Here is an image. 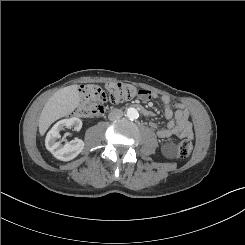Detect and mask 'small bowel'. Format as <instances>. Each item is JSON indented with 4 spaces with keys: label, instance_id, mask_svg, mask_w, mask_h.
<instances>
[{
    "label": "small bowel",
    "instance_id": "c3829d8e",
    "mask_svg": "<svg viewBox=\"0 0 245 245\" xmlns=\"http://www.w3.org/2000/svg\"><path fill=\"white\" fill-rule=\"evenodd\" d=\"M156 97L157 94L150 91H146V94L140 95V98L143 100H149ZM160 99L164 104V114L168 123L165 127H159L155 122L150 123V126L153 129H156L157 136L161 139L173 135L181 139L193 138V127L189 120V112L185 106L181 103L171 105L170 98L167 95H162Z\"/></svg>",
    "mask_w": 245,
    "mask_h": 245
}]
</instances>
